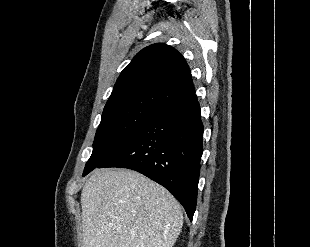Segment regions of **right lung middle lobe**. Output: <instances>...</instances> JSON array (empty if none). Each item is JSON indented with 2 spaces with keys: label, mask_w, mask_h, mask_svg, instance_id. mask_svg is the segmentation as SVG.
Here are the masks:
<instances>
[{
  "label": "right lung middle lobe",
  "mask_w": 310,
  "mask_h": 247,
  "mask_svg": "<svg viewBox=\"0 0 310 247\" xmlns=\"http://www.w3.org/2000/svg\"><path fill=\"white\" fill-rule=\"evenodd\" d=\"M158 112L159 110L153 107L135 106L102 114L93 152L86 163L83 176L110 158Z\"/></svg>",
  "instance_id": "1"
}]
</instances>
